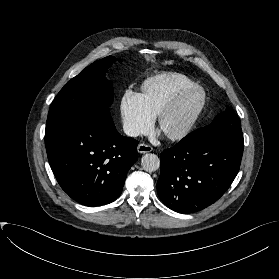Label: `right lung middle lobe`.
Instances as JSON below:
<instances>
[{"label": "right lung middle lobe", "mask_w": 279, "mask_h": 279, "mask_svg": "<svg viewBox=\"0 0 279 279\" xmlns=\"http://www.w3.org/2000/svg\"><path fill=\"white\" fill-rule=\"evenodd\" d=\"M116 60L113 56H108L92 63L61 89L50 107L45 134L89 109L109 110L108 107L113 102V87L105 78L104 72Z\"/></svg>", "instance_id": "dd1d6c3e"}]
</instances>
